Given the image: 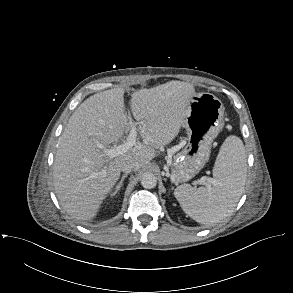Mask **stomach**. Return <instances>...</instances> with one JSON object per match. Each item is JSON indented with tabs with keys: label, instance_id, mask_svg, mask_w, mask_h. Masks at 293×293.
<instances>
[{
	"label": "stomach",
	"instance_id": "obj_1",
	"mask_svg": "<svg viewBox=\"0 0 293 293\" xmlns=\"http://www.w3.org/2000/svg\"><path fill=\"white\" fill-rule=\"evenodd\" d=\"M224 106L210 93H195L183 121L187 144L175 157L171 179L174 183L191 180L208 162L212 142L224 126Z\"/></svg>",
	"mask_w": 293,
	"mask_h": 293
}]
</instances>
